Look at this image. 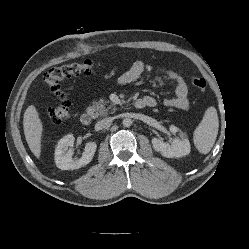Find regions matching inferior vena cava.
Masks as SVG:
<instances>
[{
	"mask_svg": "<svg viewBox=\"0 0 249 249\" xmlns=\"http://www.w3.org/2000/svg\"><path fill=\"white\" fill-rule=\"evenodd\" d=\"M112 118L111 117H109V118H104V119H102V120H100V121H98L97 123H96V125H95V128L97 129V130H101V129H103V128H105L106 126H108L111 122H112Z\"/></svg>",
	"mask_w": 249,
	"mask_h": 249,
	"instance_id": "602c4592",
	"label": "inferior vena cava"
}]
</instances>
